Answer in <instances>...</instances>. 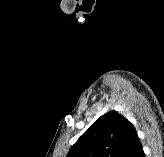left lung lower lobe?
<instances>
[{
    "label": "left lung lower lobe",
    "mask_w": 164,
    "mask_h": 157,
    "mask_svg": "<svg viewBox=\"0 0 164 157\" xmlns=\"http://www.w3.org/2000/svg\"><path fill=\"white\" fill-rule=\"evenodd\" d=\"M121 157H145L137 133L131 138Z\"/></svg>",
    "instance_id": "0a47b994"
}]
</instances>
